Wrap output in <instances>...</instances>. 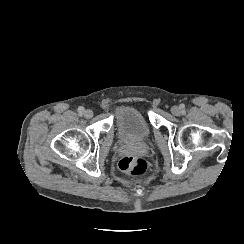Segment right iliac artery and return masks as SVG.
I'll list each match as a JSON object with an SVG mask.
<instances>
[{"label": "right iliac artery", "mask_w": 244, "mask_h": 244, "mask_svg": "<svg viewBox=\"0 0 244 244\" xmlns=\"http://www.w3.org/2000/svg\"><path fill=\"white\" fill-rule=\"evenodd\" d=\"M78 112L80 114H82L84 112V107H82V106L78 107Z\"/></svg>", "instance_id": "obj_1"}]
</instances>
